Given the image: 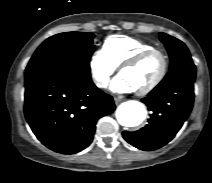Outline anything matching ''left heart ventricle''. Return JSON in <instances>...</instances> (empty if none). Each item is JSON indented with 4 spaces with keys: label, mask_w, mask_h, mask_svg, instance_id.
Masks as SVG:
<instances>
[{
    "label": "left heart ventricle",
    "mask_w": 212,
    "mask_h": 183,
    "mask_svg": "<svg viewBox=\"0 0 212 183\" xmlns=\"http://www.w3.org/2000/svg\"><path fill=\"white\" fill-rule=\"evenodd\" d=\"M162 67V59L159 55H152L139 65L124 70L121 75L134 87L135 90L142 89L152 83L158 76Z\"/></svg>",
    "instance_id": "1"
}]
</instances>
